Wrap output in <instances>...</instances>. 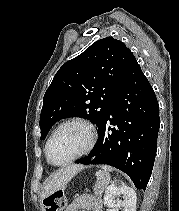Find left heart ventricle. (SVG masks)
<instances>
[{
  "label": "left heart ventricle",
  "mask_w": 179,
  "mask_h": 211,
  "mask_svg": "<svg viewBox=\"0 0 179 211\" xmlns=\"http://www.w3.org/2000/svg\"><path fill=\"white\" fill-rule=\"evenodd\" d=\"M88 134L84 127L71 124L60 129L49 146V155L54 163H64L80 152L86 145Z\"/></svg>",
  "instance_id": "b2bd125f"
}]
</instances>
